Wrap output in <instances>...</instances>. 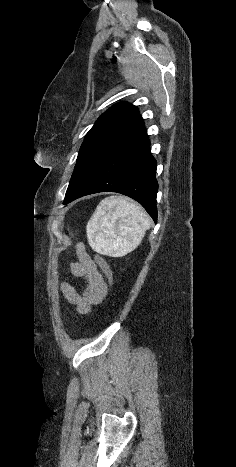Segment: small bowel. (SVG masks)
Instances as JSON below:
<instances>
[{
  "mask_svg": "<svg viewBox=\"0 0 236 467\" xmlns=\"http://www.w3.org/2000/svg\"><path fill=\"white\" fill-rule=\"evenodd\" d=\"M77 260L71 264V273L84 282L81 292L64 281L61 291L65 299L76 306L78 313L88 314L93 306L100 304L108 292V281L94 259L81 246H77Z\"/></svg>",
  "mask_w": 236,
  "mask_h": 467,
  "instance_id": "1",
  "label": "small bowel"
}]
</instances>
